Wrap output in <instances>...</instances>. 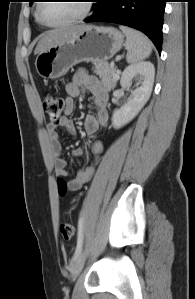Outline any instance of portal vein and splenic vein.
Returning a JSON list of instances; mask_svg holds the SVG:
<instances>
[{
    "label": "portal vein and splenic vein",
    "instance_id": "obj_1",
    "mask_svg": "<svg viewBox=\"0 0 195 299\" xmlns=\"http://www.w3.org/2000/svg\"><path fill=\"white\" fill-rule=\"evenodd\" d=\"M119 73H120V72H119V71H117V73H116V74H114V77H115V78H119Z\"/></svg>",
    "mask_w": 195,
    "mask_h": 299
}]
</instances>
